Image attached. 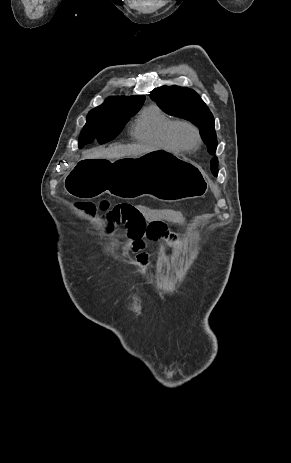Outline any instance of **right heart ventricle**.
Returning a JSON list of instances; mask_svg holds the SVG:
<instances>
[{"instance_id": "1", "label": "right heart ventricle", "mask_w": 291, "mask_h": 463, "mask_svg": "<svg viewBox=\"0 0 291 463\" xmlns=\"http://www.w3.org/2000/svg\"><path fill=\"white\" fill-rule=\"evenodd\" d=\"M174 122L175 120L159 107L151 105L144 109L134 122L132 135L139 143L179 151L170 137V129Z\"/></svg>"}]
</instances>
